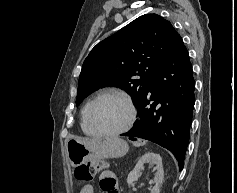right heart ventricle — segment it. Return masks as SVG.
<instances>
[{"instance_id":"1","label":"right heart ventricle","mask_w":237,"mask_h":193,"mask_svg":"<svg viewBox=\"0 0 237 193\" xmlns=\"http://www.w3.org/2000/svg\"><path fill=\"white\" fill-rule=\"evenodd\" d=\"M89 103H87L81 112L80 126L82 131L88 136H96L97 134L92 130L87 121V108Z\"/></svg>"}]
</instances>
